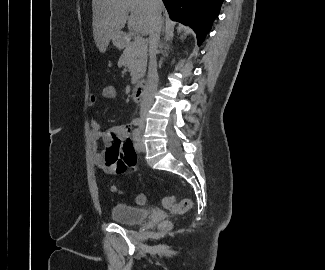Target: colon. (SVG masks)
Instances as JSON below:
<instances>
[{"instance_id":"colon-1","label":"colon","mask_w":325,"mask_h":270,"mask_svg":"<svg viewBox=\"0 0 325 270\" xmlns=\"http://www.w3.org/2000/svg\"><path fill=\"white\" fill-rule=\"evenodd\" d=\"M102 97L105 100L112 101L117 97V91L115 86L107 84L102 88ZM113 191H117L115 187H112ZM136 202L138 204L144 205L147 203V196L143 193L136 195ZM162 205L165 209L175 213V214H185L192 208V201L190 199H183L178 201L174 196L165 197L162 201ZM160 227L162 229H168L171 227V222L166 220L161 223Z\"/></svg>"}]
</instances>
